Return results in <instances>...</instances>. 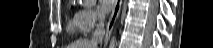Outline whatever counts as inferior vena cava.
<instances>
[{"instance_id": "inferior-vena-cava-1", "label": "inferior vena cava", "mask_w": 213, "mask_h": 48, "mask_svg": "<svg viewBox=\"0 0 213 48\" xmlns=\"http://www.w3.org/2000/svg\"><path fill=\"white\" fill-rule=\"evenodd\" d=\"M98 23L96 24V28L93 32L91 43L97 47L99 43H102L104 35H105V28H104V16L102 14L97 15Z\"/></svg>"}]
</instances>
